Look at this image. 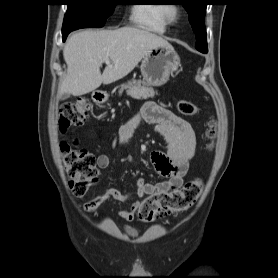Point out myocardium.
I'll return each mask as SVG.
<instances>
[{
    "instance_id": "obj_1",
    "label": "myocardium",
    "mask_w": 278,
    "mask_h": 278,
    "mask_svg": "<svg viewBox=\"0 0 278 278\" xmlns=\"http://www.w3.org/2000/svg\"><path fill=\"white\" fill-rule=\"evenodd\" d=\"M183 9L179 5L163 6L162 15L168 24H175L182 16Z\"/></svg>"
}]
</instances>
